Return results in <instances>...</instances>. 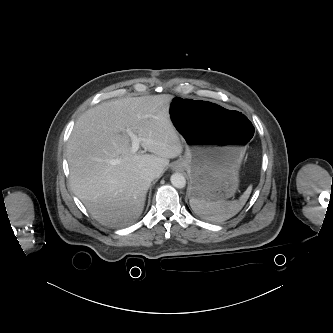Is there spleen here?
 <instances>
[{"label":"spleen","mask_w":333,"mask_h":333,"mask_svg":"<svg viewBox=\"0 0 333 333\" xmlns=\"http://www.w3.org/2000/svg\"><path fill=\"white\" fill-rule=\"evenodd\" d=\"M252 187L249 186L239 200L226 201H206L191 198L189 200L192 210L205 220L212 222H222L236 215L245 205L251 194Z\"/></svg>","instance_id":"spleen-1"}]
</instances>
